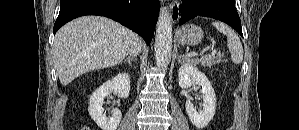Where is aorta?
Instances as JSON below:
<instances>
[{"instance_id":"aorta-1","label":"aorta","mask_w":299,"mask_h":130,"mask_svg":"<svg viewBox=\"0 0 299 130\" xmlns=\"http://www.w3.org/2000/svg\"><path fill=\"white\" fill-rule=\"evenodd\" d=\"M172 51V22L166 7L160 10L155 37V59L159 68L170 63Z\"/></svg>"}]
</instances>
